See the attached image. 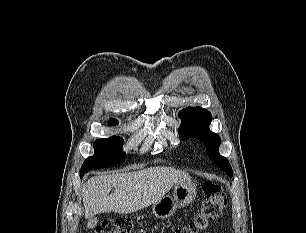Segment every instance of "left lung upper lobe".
<instances>
[{
    "instance_id": "5c2ea615",
    "label": "left lung upper lobe",
    "mask_w": 306,
    "mask_h": 233,
    "mask_svg": "<svg viewBox=\"0 0 306 233\" xmlns=\"http://www.w3.org/2000/svg\"><path fill=\"white\" fill-rule=\"evenodd\" d=\"M179 117L182 120L179 128L180 139L196 137L201 140L207 148L210 160L232 177L229 161L219 154L220 137L208 128L212 120L210 112L201 107H189L181 110Z\"/></svg>"
}]
</instances>
